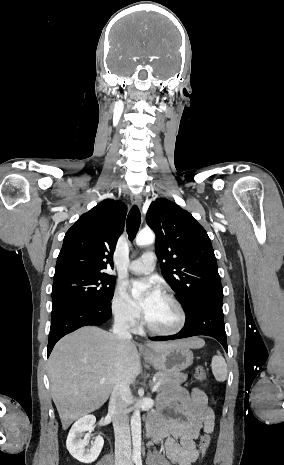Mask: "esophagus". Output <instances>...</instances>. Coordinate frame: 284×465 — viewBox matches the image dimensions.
Masks as SVG:
<instances>
[{"instance_id": "esophagus-1", "label": "esophagus", "mask_w": 284, "mask_h": 465, "mask_svg": "<svg viewBox=\"0 0 284 465\" xmlns=\"http://www.w3.org/2000/svg\"><path fill=\"white\" fill-rule=\"evenodd\" d=\"M130 200L132 202V205H137V206L141 205V195L140 194H134V193L131 194Z\"/></svg>"}]
</instances>
